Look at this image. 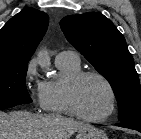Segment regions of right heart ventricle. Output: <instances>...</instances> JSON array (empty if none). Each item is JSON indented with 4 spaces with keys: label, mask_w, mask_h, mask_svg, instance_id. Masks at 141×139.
I'll use <instances>...</instances> for the list:
<instances>
[{
    "label": "right heart ventricle",
    "mask_w": 141,
    "mask_h": 139,
    "mask_svg": "<svg viewBox=\"0 0 141 139\" xmlns=\"http://www.w3.org/2000/svg\"><path fill=\"white\" fill-rule=\"evenodd\" d=\"M56 65L60 70V78L44 82L46 110L53 114L72 116L66 102V85L82 68L79 61H61L56 62Z\"/></svg>",
    "instance_id": "obj_1"
}]
</instances>
